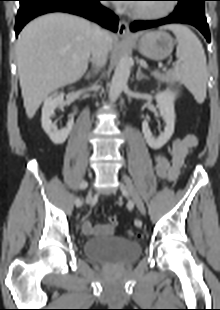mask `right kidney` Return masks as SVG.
<instances>
[{
    "mask_svg": "<svg viewBox=\"0 0 220 310\" xmlns=\"http://www.w3.org/2000/svg\"><path fill=\"white\" fill-rule=\"evenodd\" d=\"M64 105V93L55 92L44 100L42 107V128L49 136L50 140L56 145H61L66 141L74 124L73 118H70L66 127L58 130L57 126L52 123L51 117L54 114L55 109L63 107Z\"/></svg>",
    "mask_w": 220,
    "mask_h": 310,
    "instance_id": "obj_1",
    "label": "right kidney"
}]
</instances>
